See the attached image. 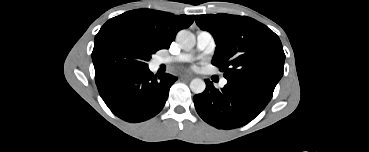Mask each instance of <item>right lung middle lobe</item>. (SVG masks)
Wrapping results in <instances>:
<instances>
[{
    "mask_svg": "<svg viewBox=\"0 0 369 152\" xmlns=\"http://www.w3.org/2000/svg\"><path fill=\"white\" fill-rule=\"evenodd\" d=\"M156 50L134 37L103 31L95 36L92 60L95 80L128 68H146Z\"/></svg>",
    "mask_w": 369,
    "mask_h": 152,
    "instance_id": "dd1d6c3e",
    "label": "right lung middle lobe"
}]
</instances>
